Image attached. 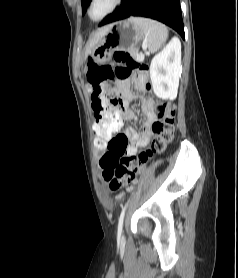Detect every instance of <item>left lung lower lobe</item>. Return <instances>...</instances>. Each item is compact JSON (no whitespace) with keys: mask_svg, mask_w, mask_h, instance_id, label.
<instances>
[{"mask_svg":"<svg viewBox=\"0 0 238 278\" xmlns=\"http://www.w3.org/2000/svg\"><path fill=\"white\" fill-rule=\"evenodd\" d=\"M131 16L158 20L185 37L179 0H122L119 9L106 16L100 26Z\"/></svg>","mask_w":238,"mask_h":278,"instance_id":"0a47b994","label":"left lung lower lobe"}]
</instances>
